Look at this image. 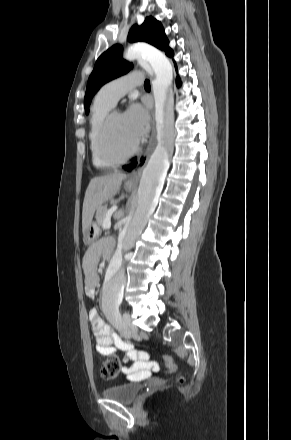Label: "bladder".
Instances as JSON below:
<instances>
[{
  "instance_id": "obj_1",
  "label": "bladder",
  "mask_w": 291,
  "mask_h": 440,
  "mask_svg": "<svg viewBox=\"0 0 291 440\" xmlns=\"http://www.w3.org/2000/svg\"><path fill=\"white\" fill-rule=\"evenodd\" d=\"M140 389V386L136 384H120L106 387L103 390V395L109 400L128 404L134 401Z\"/></svg>"
}]
</instances>
